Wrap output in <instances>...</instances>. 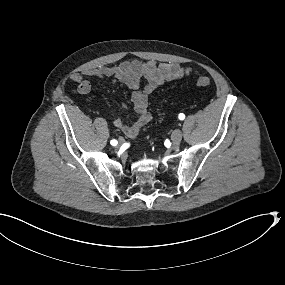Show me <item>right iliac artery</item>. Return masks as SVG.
I'll list each match as a JSON object with an SVG mask.
<instances>
[{
	"instance_id": "obj_1",
	"label": "right iliac artery",
	"mask_w": 285,
	"mask_h": 285,
	"mask_svg": "<svg viewBox=\"0 0 285 285\" xmlns=\"http://www.w3.org/2000/svg\"><path fill=\"white\" fill-rule=\"evenodd\" d=\"M110 143L112 146H116L118 144L117 140H115V139L111 140Z\"/></svg>"
}]
</instances>
